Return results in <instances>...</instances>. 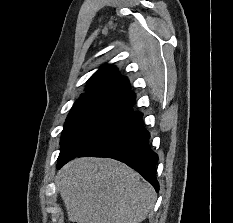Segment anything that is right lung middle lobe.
Instances as JSON below:
<instances>
[{"label": "right lung middle lobe", "instance_id": "1", "mask_svg": "<svg viewBox=\"0 0 233 223\" xmlns=\"http://www.w3.org/2000/svg\"><path fill=\"white\" fill-rule=\"evenodd\" d=\"M126 107L127 101L122 94L82 95L66 119L60 155L81 153L121 116Z\"/></svg>", "mask_w": 233, "mask_h": 223}]
</instances>
